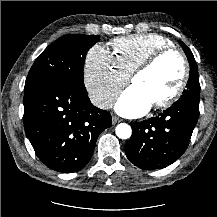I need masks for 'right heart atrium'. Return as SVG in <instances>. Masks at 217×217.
<instances>
[{
    "label": "right heart atrium",
    "instance_id": "d8ad5b80",
    "mask_svg": "<svg viewBox=\"0 0 217 217\" xmlns=\"http://www.w3.org/2000/svg\"><path fill=\"white\" fill-rule=\"evenodd\" d=\"M127 81L128 75L115 64L112 54L104 46L90 48L85 60L84 82L97 107L109 108Z\"/></svg>",
    "mask_w": 217,
    "mask_h": 217
}]
</instances>
